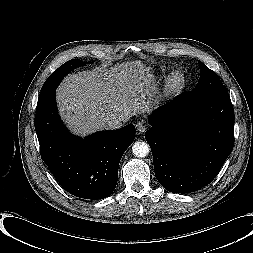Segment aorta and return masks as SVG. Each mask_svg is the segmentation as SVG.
I'll return each mask as SVG.
<instances>
[{
	"instance_id": "obj_1",
	"label": "aorta",
	"mask_w": 253,
	"mask_h": 253,
	"mask_svg": "<svg viewBox=\"0 0 253 253\" xmlns=\"http://www.w3.org/2000/svg\"><path fill=\"white\" fill-rule=\"evenodd\" d=\"M150 151L149 145L144 141H136L132 146V152L136 157H146Z\"/></svg>"
}]
</instances>
